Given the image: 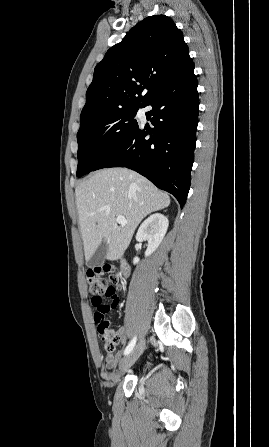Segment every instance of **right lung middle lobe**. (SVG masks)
<instances>
[{
	"label": "right lung middle lobe",
	"mask_w": 269,
	"mask_h": 447,
	"mask_svg": "<svg viewBox=\"0 0 269 447\" xmlns=\"http://www.w3.org/2000/svg\"><path fill=\"white\" fill-rule=\"evenodd\" d=\"M140 107L144 104L109 111L80 126L77 133V177L93 171L104 157L138 128L134 117Z\"/></svg>",
	"instance_id": "dd1d6c3e"
}]
</instances>
